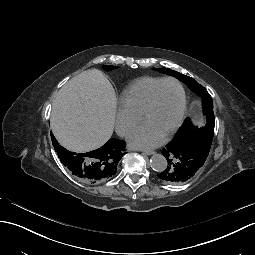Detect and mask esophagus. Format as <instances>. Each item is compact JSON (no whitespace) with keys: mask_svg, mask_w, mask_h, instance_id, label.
Wrapping results in <instances>:
<instances>
[{"mask_svg":"<svg viewBox=\"0 0 255 255\" xmlns=\"http://www.w3.org/2000/svg\"><path fill=\"white\" fill-rule=\"evenodd\" d=\"M143 153L145 155H153L155 152L154 151H150V150H145V151H143Z\"/></svg>","mask_w":255,"mask_h":255,"instance_id":"esophagus-1","label":"esophagus"}]
</instances>
